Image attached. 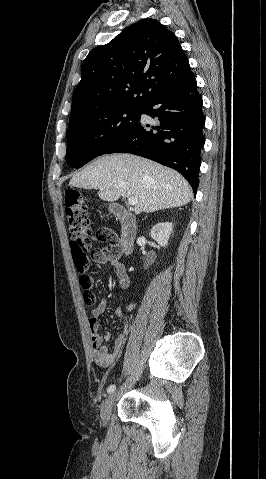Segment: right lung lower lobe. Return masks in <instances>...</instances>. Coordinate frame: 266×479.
<instances>
[{
    "instance_id": "right-lung-lower-lobe-1",
    "label": "right lung lower lobe",
    "mask_w": 266,
    "mask_h": 479,
    "mask_svg": "<svg viewBox=\"0 0 266 479\" xmlns=\"http://www.w3.org/2000/svg\"><path fill=\"white\" fill-rule=\"evenodd\" d=\"M141 114L155 118L159 125L138 122L105 154L132 153L171 167L186 178L196 194L205 117L194 74L157 91Z\"/></svg>"
}]
</instances>
